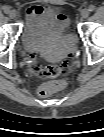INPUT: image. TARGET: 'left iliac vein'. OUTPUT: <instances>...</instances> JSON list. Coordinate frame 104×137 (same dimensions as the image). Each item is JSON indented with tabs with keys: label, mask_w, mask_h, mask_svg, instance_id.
<instances>
[{
	"label": "left iliac vein",
	"mask_w": 104,
	"mask_h": 137,
	"mask_svg": "<svg viewBox=\"0 0 104 137\" xmlns=\"http://www.w3.org/2000/svg\"><path fill=\"white\" fill-rule=\"evenodd\" d=\"M89 10L88 9H83L82 11H81V17L83 18V19H86V18H88L89 17Z\"/></svg>",
	"instance_id": "obj_1"
}]
</instances>
